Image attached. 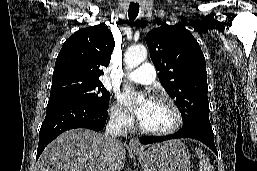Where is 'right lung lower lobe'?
<instances>
[{
  "mask_svg": "<svg viewBox=\"0 0 257 171\" xmlns=\"http://www.w3.org/2000/svg\"><path fill=\"white\" fill-rule=\"evenodd\" d=\"M107 110L79 100H61L49 102L46 117L39 132L37 157L45 147L61 133L73 128H88L94 131L103 129L107 119Z\"/></svg>",
  "mask_w": 257,
  "mask_h": 171,
  "instance_id": "obj_1",
  "label": "right lung lower lobe"
}]
</instances>
